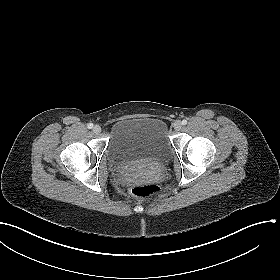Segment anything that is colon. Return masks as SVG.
<instances>
[{
    "instance_id": "1",
    "label": "colon",
    "mask_w": 280,
    "mask_h": 280,
    "mask_svg": "<svg viewBox=\"0 0 280 280\" xmlns=\"http://www.w3.org/2000/svg\"><path fill=\"white\" fill-rule=\"evenodd\" d=\"M131 192L138 197L150 198L159 193V188L151 183L136 182L132 185Z\"/></svg>"
}]
</instances>
